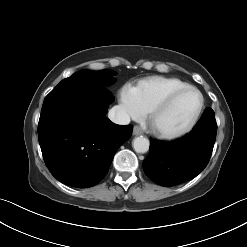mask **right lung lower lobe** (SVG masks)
I'll return each instance as SVG.
<instances>
[{
    "instance_id": "1",
    "label": "right lung lower lobe",
    "mask_w": 247,
    "mask_h": 247,
    "mask_svg": "<svg viewBox=\"0 0 247 247\" xmlns=\"http://www.w3.org/2000/svg\"><path fill=\"white\" fill-rule=\"evenodd\" d=\"M114 96L102 86L54 89L45 98L38 138L46 166L60 182L92 187L107 174L117 149L130 138L132 125L105 117Z\"/></svg>"
}]
</instances>
